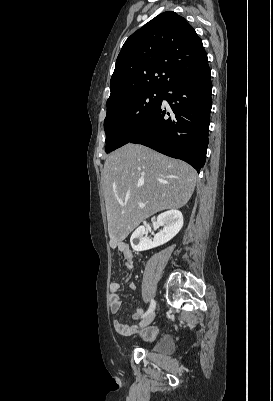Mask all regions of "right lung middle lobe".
I'll return each instance as SVG.
<instances>
[{
    "label": "right lung middle lobe",
    "instance_id": "right-lung-middle-lobe-1",
    "mask_svg": "<svg viewBox=\"0 0 273 401\" xmlns=\"http://www.w3.org/2000/svg\"><path fill=\"white\" fill-rule=\"evenodd\" d=\"M162 95V90H147L107 106L104 120L106 153L127 144L133 138L159 107Z\"/></svg>",
    "mask_w": 273,
    "mask_h": 401
}]
</instances>
